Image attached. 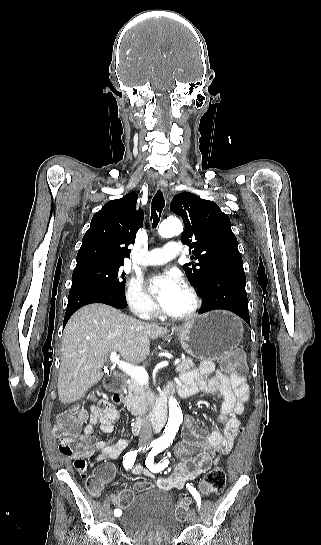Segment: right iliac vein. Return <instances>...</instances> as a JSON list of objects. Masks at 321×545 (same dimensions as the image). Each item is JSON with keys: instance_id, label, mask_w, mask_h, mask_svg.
I'll return each mask as SVG.
<instances>
[{"instance_id": "obj_1", "label": "right iliac vein", "mask_w": 321, "mask_h": 545, "mask_svg": "<svg viewBox=\"0 0 321 545\" xmlns=\"http://www.w3.org/2000/svg\"><path fill=\"white\" fill-rule=\"evenodd\" d=\"M109 520L113 522L115 520V516L112 511L109 512Z\"/></svg>"}]
</instances>
